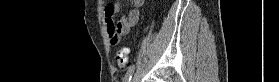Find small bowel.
<instances>
[{
	"mask_svg": "<svg viewBox=\"0 0 279 82\" xmlns=\"http://www.w3.org/2000/svg\"><path fill=\"white\" fill-rule=\"evenodd\" d=\"M143 5V0H133V9L123 16L117 23L113 22V16L119 11V3L108 4L105 7V18L107 22V31L111 45L120 43L121 38L128 34L139 20L140 7Z\"/></svg>",
	"mask_w": 279,
	"mask_h": 82,
	"instance_id": "obj_1",
	"label": "small bowel"
}]
</instances>
